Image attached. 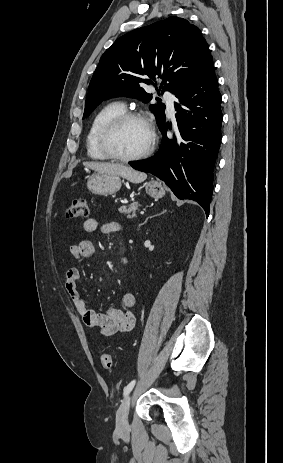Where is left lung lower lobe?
<instances>
[{
    "instance_id": "obj_1",
    "label": "left lung lower lobe",
    "mask_w": 283,
    "mask_h": 463,
    "mask_svg": "<svg viewBox=\"0 0 283 463\" xmlns=\"http://www.w3.org/2000/svg\"><path fill=\"white\" fill-rule=\"evenodd\" d=\"M175 96L177 128L173 138L167 137L168 124L164 121L159 126L164 135L160 152L130 165L159 177L179 199L198 202L208 217L222 122L221 95L213 65Z\"/></svg>"
}]
</instances>
